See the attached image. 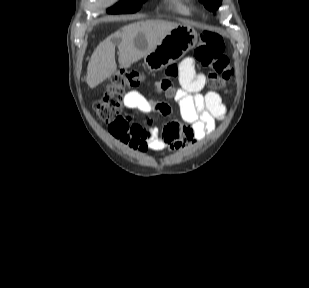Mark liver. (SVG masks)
Segmentation results:
<instances>
[{"label":"liver","mask_w":309,"mask_h":288,"mask_svg":"<svg viewBox=\"0 0 309 288\" xmlns=\"http://www.w3.org/2000/svg\"><path fill=\"white\" fill-rule=\"evenodd\" d=\"M179 24L164 20L138 21L126 25L116 31L94 50L87 67V84L94 88L117 69L115 61V46H118L119 64L130 66L151 52L159 40ZM142 35L146 40V47L140 49L135 44V38Z\"/></svg>","instance_id":"obj_1"}]
</instances>
